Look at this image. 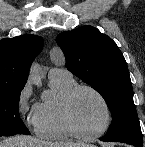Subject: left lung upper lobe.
Listing matches in <instances>:
<instances>
[{
  "label": "left lung upper lobe",
  "instance_id": "1",
  "mask_svg": "<svg viewBox=\"0 0 145 147\" xmlns=\"http://www.w3.org/2000/svg\"><path fill=\"white\" fill-rule=\"evenodd\" d=\"M56 41L67 69L99 92L111 111L112 123L103 138L143 143L129 71L116 43L89 25L64 31Z\"/></svg>",
  "mask_w": 145,
  "mask_h": 147
}]
</instances>
